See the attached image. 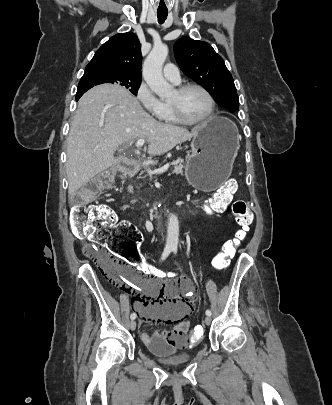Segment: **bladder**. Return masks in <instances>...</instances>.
Returning a JSON list of instances; mask_svg holds the SVG:
<instances>
[{"mask_svg":"<svg viewBox=\"0 0 332 405\" xmlns=\"http://www.w3.org/2000/svg\"><path fill=\"white\" fill-rule=\"evenodd\" d=\"M147 350L154 356H156L161 362L169 364H184L192 359V354L185 352H178L172 347H168L165 352L159 353L151 347H147Z\"/></svg>","mask_w":332,"mask_h":405,"instance_id":"obj_1","label":"bladder"}]
</instances>
